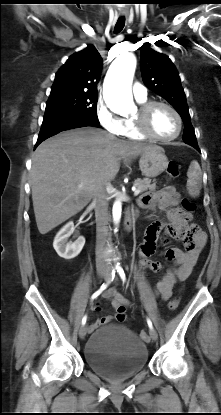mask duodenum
<instances>
[{
  "instance_id": "1",
  "label": "duodenum",
  "mask_w": 221,
  "mask_h": 415,
  "mask_svg": "<svg viewBox=\"0 0 221 415\" xmlns=\"http://www.w3.org/2000/svg\"><path fill=\"white\" fill-rule=\"evenodd\" d=\"M136 213L134 210H129L125 216V229L130 231L135 222Z\"/></svg>"
}]
</instances>
